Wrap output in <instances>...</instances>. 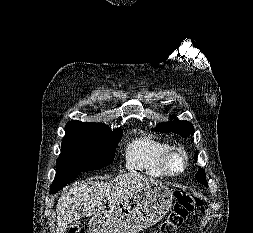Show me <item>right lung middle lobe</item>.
<instances>
[{"label":"right lung middle lobe","mask_w":253,"mask_h":233,"mask_svg":"<svg viewBox=\"0 0 253 233\" xmlns=\"http://www.w3.org/2000/svg\"><path fill=\"white\" fill-rule=\"evenodd\" d=\"M57 159L55 180L71 174L96 170L113 162L115 150L123 134L103 123L68 122Z\"/></svg>","instance_id":"dd1d6c3e"}]
</instances>
